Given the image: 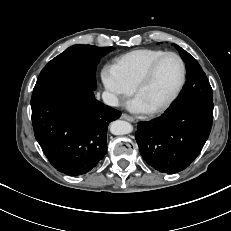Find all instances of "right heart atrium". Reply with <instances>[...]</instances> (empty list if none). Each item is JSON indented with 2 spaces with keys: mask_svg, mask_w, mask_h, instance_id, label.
I'll return each instance as SVG.
<instances>
[{
  "mask_svg": "<svg viewBox=\"0 0 231 231\" xmlns=\"http://www.w3.org/2000/svg\"><path fill=\"white\" fill-rule=\"evenodd\" d=\"M101 81L103 83L107 101L115 106L121 99L129 96L132 88L127 85L110 65H105L101 70Z\"/></svg>",
  "mask_w": 231,
  "mask_h": 231,
  "instance_id": "obj_1",
  "label": "right heart atrium"
}]
</instances>
